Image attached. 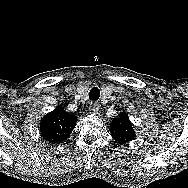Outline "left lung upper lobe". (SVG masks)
Segmentation results:
<instances>
[{"label":"left lung upper lobe","mask_w":188,"mask_h":188,"mask_svg":"<svg viewBox=\"0 0 188 188\" xmlns=\"http://www.w3.org/2000/svg\"><path fill=\"white\" fill-rule=\"evenodd\" d=\"M110 132L118 144H125L134 139L135 132L129 120L128 113L122 112L118 118L112 120L110 123Z\"/></svg>","instance_id":"5c2ea615"}]
</instances>
